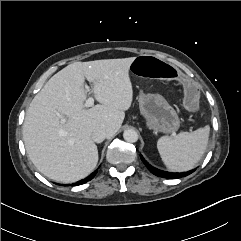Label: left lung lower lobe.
Masks as SVG:
<instances>
[{
    "label": "left lung lower lobe",
    "mask_w": 241,
    "mask_h": 241,
    "mask_svg": "<svg viewBox=\"0 0 241 241\" xmlns=\"http://www.w3.org/2000/svg\"><path fill=\"white\" fill-rule=\"evenodd\" d=\"M141 159H142L143 163L145 164V166L149 169V171L151 173H153L156 176L163 177V178L177 179V178L185 177V176L191 174L194 171V170H192V171L184 172V173L165 172V171H161L159 169H156V168L152 167L150 164H148L144 160V158L142 156H141Z\"/></svg>",
    "instance_id": "obj_1"
}]
</instances>
